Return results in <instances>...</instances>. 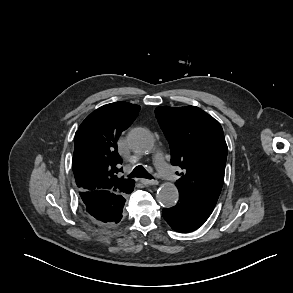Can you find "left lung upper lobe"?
Segmentation results:
<instances>
[{"label":"left lung upper lobe","instance_id":"1","mask_svg":"<svg viewBox=\"0 0 293 293\" xmlns=\"http://www.w3.org/2000/svg\"><path fill=\"white\" fill-rule=\"evenodd\" d=\"M171 150V164L183 169L176 186L179 197L213 211L220 195L227 144L220 123L195 106L155 110Z\"/></svg>","mask_w":293,"mask_h":293}]
</instances>
